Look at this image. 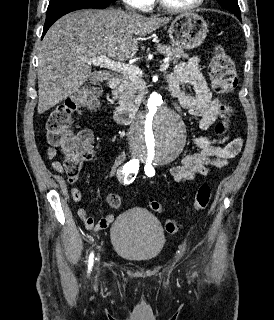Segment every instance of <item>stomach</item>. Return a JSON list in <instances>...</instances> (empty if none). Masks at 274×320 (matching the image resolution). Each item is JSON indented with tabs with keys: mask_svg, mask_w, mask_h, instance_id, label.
<instances>
[{
	"mask_svg": "<svg viewBox=\"0 0 274 320\" xmlns=\"http://www.w3.org/2000/svg\"><path fill=\"white\" fill-rule=\"evenodd\" d=\"M208 26L198 14H180L171 22L168 34L173 46L182 50H194L203 44Z\"/></svg>",
	"mask_w": 274,
	"mask_h": 320,
	"instance_id": "obj_1",
	"label": "stomach"
}]
</instances>
